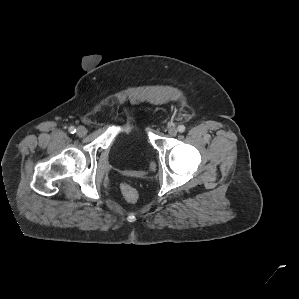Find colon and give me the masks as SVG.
Masks as SVG:
<instances>
[{
  "label": "colon",
  "mask_w": 299,
  "mask_h": 299,
  "mask_svg": "<svg viewBox=\"0 0 299 299\" xmlns=\"http://www.w3.org/2000/svg\"><path fill=\"white\" fill-rule=\"evenodd\" d=\"M153 168V165H152ZM121 193L128 203H135L138 198L136 189L130 184H123L121 186Z\"/></svg>",
  "instance_id": "1"
}]
</instances>
